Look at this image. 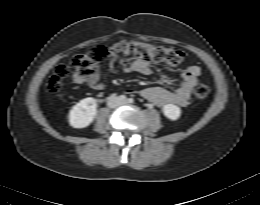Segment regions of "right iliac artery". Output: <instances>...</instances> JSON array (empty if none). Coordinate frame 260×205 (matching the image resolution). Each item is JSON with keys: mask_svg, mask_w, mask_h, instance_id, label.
<instances>
[{"mask_svg": "<svg viewBox=\"0 0 260 205\" xmlns=\"http://www.w3.org/2000/svg\"><path fill=\"white\" fill-rule=\"evenodd\" d=\"M118 98H119V100H126V96L125 95H120Z\"/></svg>", "mask_w": 260, "mask_h": 205, "instance_id": "82829eb1", "label": "right iliac artery"}]
</instances>
